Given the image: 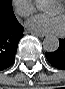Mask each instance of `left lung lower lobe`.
Masks as SVG:
<instances>
[{"instance_id": "obj_1", "label": "left lung lower lobe", "mask_w": 65, "mask_h": 89, "mask_svg": "<svg viewBox=\"0 0 65 89\" xmlns=\"http://www.w3.org/2000/svg\"><path fill=\"white\" fill-rule=\"evenodd\" d=\"M45 55L52 66L65 70V38L59 40V48L55 52L46 53Z\"/></svg>"}]
</instances>
